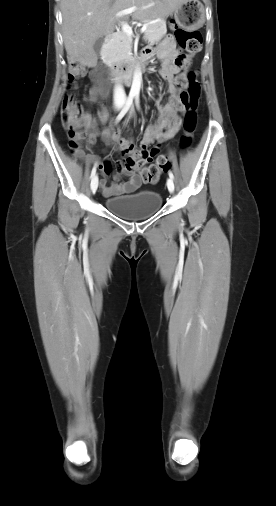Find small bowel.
I'll return each mask as SVG.
<instances>
[{
    "mask_svg": "<svg viewBox=\"0 0 276 506\" xmlns=\"http://www.w3.org/2000/svg\"><path fill=\"white\" fill-rule=\"evenodd\" d=\"M143 54L146 55L147 61H149L154 55L161 62L160 75L167 81V92L176 94L177 89L175 86V75L180 69L179 59L183 57L182 53L176 48L175 40L172 36H168L164 39L162 44L158 47H147ZM92 81V87L90 88V101L96 102L100 97L106 93V86L103 79L98 77V71L94 70L90 73ZM175 108L172 104L168 103L165 105H159V117L155 125L149 126L142 139V147L150 145L153 141L160 139H168L176 134L179 130L180 123H171L169 121L170 114L174 113ZM88 125L92 123V117L86 115ZM107 114L103 112L100 115L101 121H106ZM105 136L112 137L114 140L116 137L110 135V131H104ZM155 155L149 156L148 160L152 159ZM104 174L113 176L115 182L111 185H107L106 179H101L100 188L105 196H115L124 194L127 192L134 191L139 187L141 181L139 176L131 170H127L121 162H113L110 158H107L103 163L96 165ZM125 174L128 179L126 181H119V174Z\"/></svg>",
    "mask_w": 276,
    "mask_h": 506,
    "instance_id": "small-bowel-1",
    "label": "small bowel"
}]
</instances>
